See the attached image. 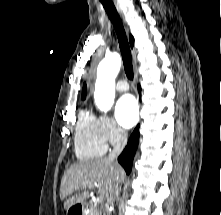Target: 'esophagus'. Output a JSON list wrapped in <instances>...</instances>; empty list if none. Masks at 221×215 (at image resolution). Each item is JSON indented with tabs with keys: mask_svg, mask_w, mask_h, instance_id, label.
I'll return each mask as SVG.
<instances>
[{
	"mask_svg": "<svg viewBox=\"0 0 221 215\" xmlns=\"http://www.w3.org/2000/svg\"><path fill=\"white\" fill-rule=\"evenodd\" d=\"M114 1H115V5H116L117 10L119 11V13H121L118 3H116V0H114Z\"/></svg>",
	"mask_w": 221,
	"mask_h": 215,
	"instance_id": "obj_1",
	"label": "esophagus"
}]
</instances>
